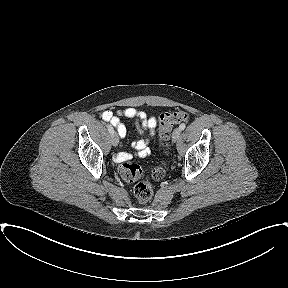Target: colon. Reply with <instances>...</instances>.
<instances>
[{
	"instance_id": "obj_1",
	"label": "colon",
	"mask_w": 288,
	"mask_h": 288,
	"mask_svg": "<svg viewBox=\"0 0 288 288\" xmlns=\"http://www.w3.org/2000/svg\"><path fill=\"white\" fill-rule=\"evenodd\" d=\"M188 120V114L184 111H172L166 112L160 115L158 121L159 138L161 144H163L173 129V127L181 122ZM119 174L121 178L126 182L138 183L134 187V198L139 203H146L153 195V186L148 180L140 179L144 176V170L138 163L125 160L119 166ZM165 175V169L163 166H156L151 169L149 176L153 180H160Z\"/></svg>"
}]
</instances>
